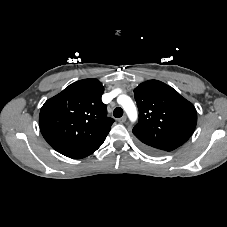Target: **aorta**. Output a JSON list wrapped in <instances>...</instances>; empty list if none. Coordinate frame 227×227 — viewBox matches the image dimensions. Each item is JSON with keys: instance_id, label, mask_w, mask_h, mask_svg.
Returning <instances> with one entry per match:
<instances>
[{"instance_id": "aorta-1", "label": "aorta", "mask_w": 227, "mask_h": 227, "mask_svg": "<svg viewBox=\"0 0 227 227\" xmlns=\"http://www.w3.org/2000/svg\"><path fill=\"white\" fill-rule=\"evenodd\" d=\"M119 99V103L123 106L129 119L134 122L137 119V110L132 99L127 95H121Z\"/></svg>"}]
</instances>
